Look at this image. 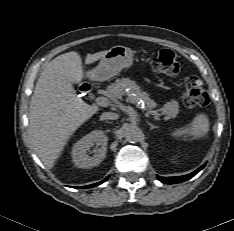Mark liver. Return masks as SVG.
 <instances>
[{"label": "liver", "instance_id": "6515ba94", "mask_svg": "<svg viewBox=\"0 0 234 231\" xmlns=\"http://www.w3.org/2000/svg\"><path fill=\"white\" fill-rule=\"evenodd\" d=\"M107 51L87 54L85 64L96 62ZM82 78V59L71 51L50 61L37 80L30 101L29 137L48 168H53L71 135L99 110L76 94L73 83Z\"/></svg>", "mask_w": 234, "mask_h": 231}]
</instances>
